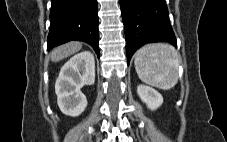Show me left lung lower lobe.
I'll use <instances>...</instances> for the list:
<instances>
[{"instance_id": "0a47b994", "label": "left lung lower lobe", "mask_w": 227, "mask_h": 142, "mask_svg": "<svg viewBox=\"0 0 227 142\" xmlns=\"http://www.w3.org/2000/svg\"><path fill=\"white\" fill-rule=\"evenodd\" d=\"M128 64L146 43L167 41L176 47L165 0H120Z\"/></svg>"}]
</instances>
